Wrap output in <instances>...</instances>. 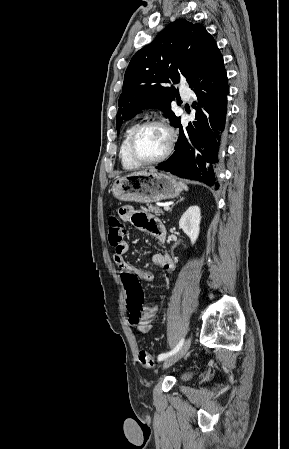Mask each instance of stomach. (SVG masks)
<instances>
[{
    "label": "stomach",
    "instance_id": "0dacf381",
    "mask_svg": "<svg viewBox=\"0 0 289 449\" xmlns=\"http://www.w3.org/2000/svg\"><path fill=\"white\" fill-rule=\"evenodd\" d=\"M111 192L125 202L151 203L179 196L182 187L171 175L143 171L116 178Z\"/></svg>",
    "mask_w": 289,
    "mask_h": 449
}]
</instances>
